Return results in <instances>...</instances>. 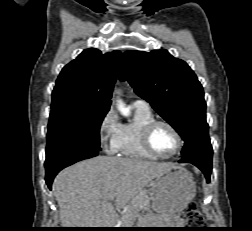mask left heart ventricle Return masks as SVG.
<instances>
[{"label":"left heart ventricle","mask_w":252,"mask_h":231,"mask_svg":"<svg viewBox=\"0 0 252 231\" xmlns=\"http://www.w3.org/2000/svg\"><path fill=\"white\" fill-rule=\"evenodd\" d=\"M153 148L161 155L168 156L177 148V140L173 133L164 125L154 128L151 135Z\"/></svg>","instance_id":"obj_1"}]
</instances>
